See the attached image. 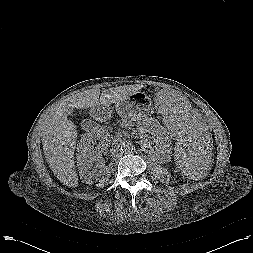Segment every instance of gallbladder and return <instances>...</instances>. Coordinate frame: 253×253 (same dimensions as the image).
I'll use <instances>...</instances> for the list:
<instances>
[{"mask_svg":"<svg viewBox=\"0 0 253 253\" xmlns=\"http://www.w3.org/2000/svg\"><path fill=\"white\" fill-rule=\"evenodd\" d=\"M86 123V120H83L82 122H81V126L82 127H84V124Z\"/></svg>","mask_w":253,"mask_h":253,"instance_id":"1","label":"gallbladder"}]
</instances>
